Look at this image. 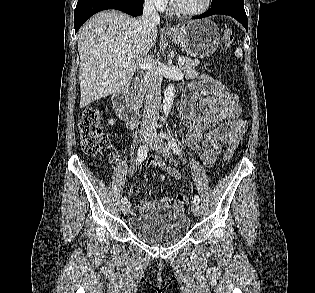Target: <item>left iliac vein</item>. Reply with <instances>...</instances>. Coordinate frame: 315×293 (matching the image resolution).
Instances as JSON below:
<instances>
[{"instance_id": "left-iliac-vein-1", "label": "left iliac vein", "mask_w": 315, "mask_h": 293, "mask_svg": "<svg viewBox=\"0 0 315 293\" xmlns=\"http://www.w3.org/2000/svg\"><path fill=\"white\" fill-rule=\"evenodd\" d=\"M150 148L161 154L165 158H169L171 156L170 147L160 138L154 136L150 143ZM191 211L194 216H199L200 214V206L197 202L193 201L191 204Z\"/></svg>"}]
</instances>
